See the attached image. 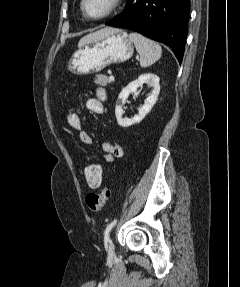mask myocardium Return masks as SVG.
I'll return each instance as SVG.
<instances>
[{"label": "myocardium", "mask_w": 240, "mask_h": 287, "mask_svg": "<svg viewBox=\"0 0 240 287\" xmlns=\"http://www.w3.org/2000/svg\"><path fill=\"white\" fill-rule=\"evenodd\" d=\"M120 3H121V0H111L110 6L107 9V11H105L103 14H101L99 16H90L87 13L86 8H85L86 0H81L80 8H81L83 15L87 19H89L91 21H101V20H104V19L110 17L111 15H113L115 13V11L118 9Z\"/></svg>", "instance_id": "myocardium-1"}]
</instances>
